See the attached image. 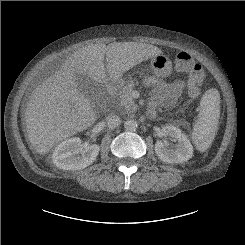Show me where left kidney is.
<instances>
[{"label": "left kidney", "instance_id": "obj_1", "mask_svg": "<svg viewBox=\"0 0 245 245\" xmlns=\"http://www.w3.org/2000/svg\"><path fill=\"white\" fill-rule=\"evenodd\" d=\"M161 136L177 141V146L175 149H170L158 140L155 144V153L160 160L166 163H182L192 157L193 146L179 128L166 125L161 129Z\"/></svg>", "mask_w": 245, "mask_h": 245}]
</instances>
